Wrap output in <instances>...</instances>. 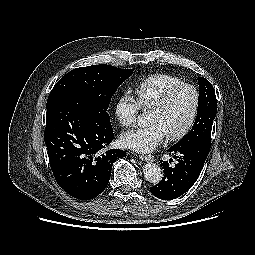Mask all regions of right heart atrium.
<instances>
[{"instance_id":"1","label":"right heart atrium","mask_w":255,"mask_h":255,"mask_svg":"<svg viewBox=\"0 0 255 255\" xmlns=\"http://www.w3.org/2000/svg\"><path fill=\"white\" fill-rule=\"evenodd\" d=\"M139 111L140 106L132 95L128 92L119 95L115 103L114 113L120 125H132L136 121Z\"/></svg>"}]
</instances>
